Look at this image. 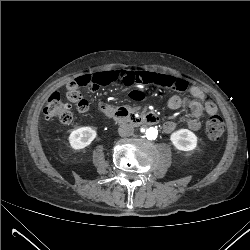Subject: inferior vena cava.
Here are the masks:
<instances>
[{"mask_svg": "<svg viewBox=\"0 0 250 250\" xmlns=\"http://www.w3.org/2000/svg\"><path fill=\"white\" fill-rule=\"evenodd\" d=\"M130 127L127 125V124H121L119 125L118 129H117V132L120 136H126L129 134L130 132Z\"/></svg>", "mask_w": 250, "mask_h": 250, "instance_id": "1", "label": "inferior vena cava"}]
</instances>
